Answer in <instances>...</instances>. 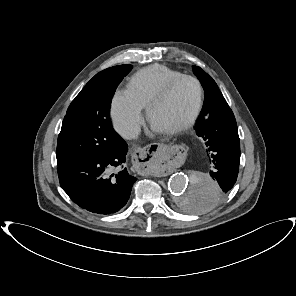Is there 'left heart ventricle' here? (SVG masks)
Segmentation results:
<instances>
[{
	"mask_svg": "<svg viewBox=\"0 0 296 296\" xmlns=\"http://www.w3.org/2000/svg\"><path fill=\"white\" fill-rule=\"evenodd\" d=\"M198 91L191 81L179 83L168 98L152 112V125L168 131L186 121L195 109Z\"/></svg>",
	"mask_w": 296,
	"mask_h": 296,
	"instance_id": "b2bd125f",
	"label": "left heart ventricle"
}]
</instances>
